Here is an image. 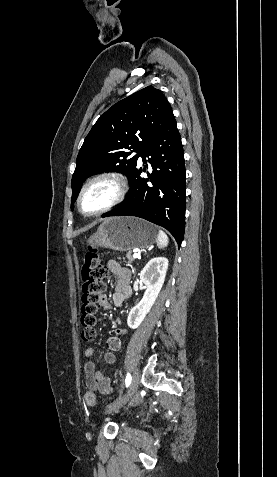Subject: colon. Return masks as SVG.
<instances>
[{
    "label": "colon",
    "instance_id": "5ec220e1",
    "mask_svg": "<svg viewBox=\"0 0 277 477\" xmlns=\"http://www.w3.org/2000/svg\"><path fill=\"white\" fill-rule=\"evenodd\" d=\"M107 273L108 270L102 264L98 252L93 248H88L81 266V324L84 341H92L96 337V314L103 298L104 280ZM85 401L88 406H94L95 394L92 391H87Z\"/></svg>",
    "mask_w": 277,
    "mask_h": 477
}]
</instances>
